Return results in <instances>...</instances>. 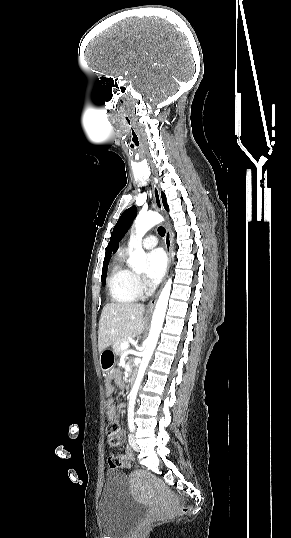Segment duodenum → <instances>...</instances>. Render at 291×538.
I'll use <instances>...</instances> for the list:
<instances>
[{"mask_svg":"<svg viewBox=\"0 0 291 538\" xmlns=\"http://www.w3.org/2000/svg\"><path fill=\"white\" fill-rule=\"evenodd\" d=\"M138 377V374L136 372H133L132 374H130V380L133 381L134 379H136Z\"/></svg>","mask_w":291,"mask_h":538,"instance_id":"1","label":"duodenum"}]
</instances>
